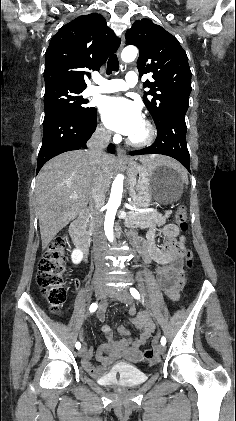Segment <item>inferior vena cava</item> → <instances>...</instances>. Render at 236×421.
Instances as JSON below:
<instances>
[{"label": "inferior vena cava", "instance_id": "obj_1", "mask_svg": "<svg viewBox=\"0 0 236 421\" xmlns=\"http://www.w3.org/2000/svg\"><path fill=\"white\" fill-rule=\"evenodd\" d=\"M111 136V130L107 128H100L97 126L95 132H93L91 138L87 142L88 156L91 160V164H99L103 154L104 148H107ZM105 204V190L101 184H97L93 188V208H92V227L93 233V249L94 251H101L105 249L106 241L103 233V219L104 215L101 211L102 206ZM95 265L100 271H106L105 261L99 253L95 255Z\"/></svg>", "mask_w": 236, "mask_h": 421}]
</instances>
